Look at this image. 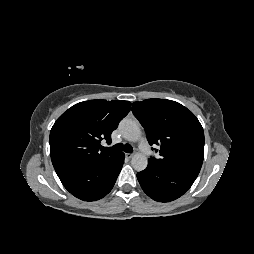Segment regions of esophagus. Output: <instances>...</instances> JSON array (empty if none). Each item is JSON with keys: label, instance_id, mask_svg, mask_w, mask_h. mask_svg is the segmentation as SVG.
<instances>
[{"label": "esophagus", "instance_id": "obj_1", "mask_svg": "<svg viewBox=\"0 0 254 254\" xmlns=\"http://www.w3.org/2000/svg\"><path fill=\"white\" fill-rule=\"evenodd\" d=\"M134 156V153H126V157L128 159H131Z\"/></svg>", "mask_w": 254, "mask_h": 254}]
</instances>
